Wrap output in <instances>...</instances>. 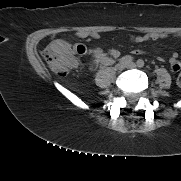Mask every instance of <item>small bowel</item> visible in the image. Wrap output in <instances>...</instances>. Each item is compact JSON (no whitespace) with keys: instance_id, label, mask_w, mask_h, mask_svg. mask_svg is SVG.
<instances>
[{"instance_id":"small-bowel-1","label":"small bowel","mask_w":181,"mask_h":181,"mask_svg":"<svg viewBox=\"0 0 181 181\" xmlns=\"http://www.w3.org/2000/svg\"><path fill=\"white\" fill-rule=\"evenodd\" d=\"M78 36L80 38H87V37H91L93 39L100 38L99 34L96 32H91V33L80 32V33H78ZM172 36L174 38H178V37H181V33H174V34H172ZM166 37H168V34H166V33H156L155 32V33L143 34V35H139V36H133V37H131V39L137 43H144V42L151 41V40L155 41V40H159V39H164ZM52 45L55 47H59V48H69L70 47V45L63 39H55L53 41ZM133 52H134V54H137V55L143 53V51L139 50V49L134 50ZM108 54L111 57L116 58L119 56V51L112 49V50H109ZM160 60H161V58H160ZM169 62H170V66H171V69L173 72H178L181 70V61H180L177 53L172 54V56L169 59Z\"/></svg>"}]
</instances>
